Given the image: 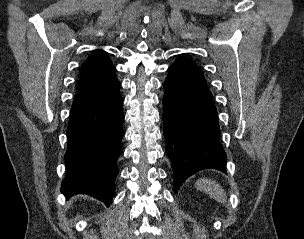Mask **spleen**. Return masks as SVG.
Returning a JSON list of instances; mask_svg holds the SVG:
<instances>
[{
	"mask_svg": "<svg viewBox=\"0 0 304 239\" xmlns=\"http://www.w3.org/2000/svg\"><path fill=\"white\" fill-rule=\"evenodd\" d=\"M196 186L198 189L207 193L218 202L224 204L227 200L226 194L222 187L213 180L200 179L198 182H196Z\"/></svg>",
	"mask_w": 304,
	"mask_h": 239,
	"instance_id": "3e777b00",
	"label": "spleen"
}]
</instances>
